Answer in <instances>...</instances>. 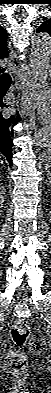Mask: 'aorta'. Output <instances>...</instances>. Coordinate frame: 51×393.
Instances as JSON below:
<instances>
[{"instance_id": "1", "label": "aorta", "mask_w": 51, "mask_h": 393, "mask_svg": "<svg viewBox=\"0 0 51 393\" xmlns=\"http://www.w3.org/2000/svg\"><path fill=\"white\" fill-rule=\"evenodd\" d=\"M51 38L47 34H37L32 37L30 64L36 80L47 84L50 77ZM39 145H47L51 141V126L45 125L35 135Z\"/></svg>"}]
</instances>
